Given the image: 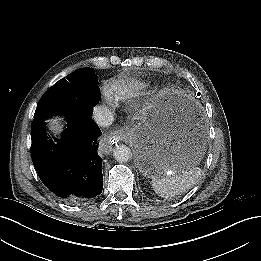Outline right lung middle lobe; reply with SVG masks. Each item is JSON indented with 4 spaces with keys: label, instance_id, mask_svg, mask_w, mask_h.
<instances>
[{
    "label": "right lung middle lobe",
    "instance_id": "obj_1",
    "mask_svg": "<svg viewBox=\"0 0 261 261\" xmlns=\"http://www.w3.org/2000/svg\"><path fill=\"white\" fill-rule=\"evenodd\" d=\"M98 80L92 68H80L59 80L41 98L34 121L52 114L67 115L78 108L92 109L100 99Z\"/></svg>",
    "mask_w": 261,
    "mask_h": 261
}]
</instances>
